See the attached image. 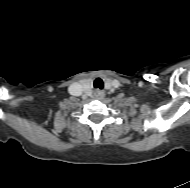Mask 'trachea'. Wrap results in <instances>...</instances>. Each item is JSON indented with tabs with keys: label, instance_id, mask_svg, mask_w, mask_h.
Returning <instances> with one entry per match:
<instances>
[{
	"label": "trachea",
	"instance_id": "trachea-1",
	"mask_svg": "<svg viewBox=\"0 0 190 188\" xmlns=\"http://www.w3.org/2000/svg\"><path fill=\"white\" fill-rule=\"evenodd\" d=\"M94 87L98 89H103V81L101 78H96L94 80Z\"/></svg>",
	"mask_w": 190,
	"mask_h": 188
}]
</instances>
